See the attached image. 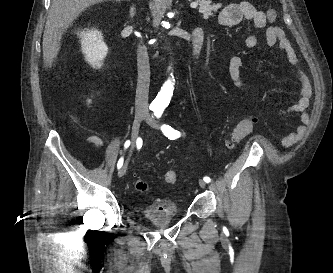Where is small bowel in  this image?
I'll use <instances>...</instances> for the list:
<instances>
[{"label":"small bowel","mask_w":333,"mask_h":273,"mask_svg":"<svg viewBox=\"0 0 333 273\" xmlns=\"http://www.w3.org/2000/svg\"><path fill=\"white\" fill-rule=\"evenodd\" d=\"M268 14L257 10L251 3L242 1L238 3L228 4L220 12L219 23L224 27H235L238 26L243 20L250 21L256 28H266V42L268 46L278 45L287 56L289 63L295 67L296 74L301 84L302 97L300 102L295 105L294 111L303 113L308 102V79L303 70L298 67V57L294 52L289 40L285 37L282 28L276 25L268 26L265 22V17ZM258 37L254 34L247 35L244 39V43L247 47H255L258 44ZM244 64V60L241 56H234L229 60L228 72L234 82V84L247 96H251V90L245 83L241 76V68ZM251 118L256 123V118ZM302 120L305 121V115H302ZM303 130L299 127L297 134H292L287 138L286 143H292L297 138L298 134ZM89 144H93L97 149H102L104 141L99 135H90L87 138Z\"/></svg>","instance_id":"c3829d8e"}]
</instances>
